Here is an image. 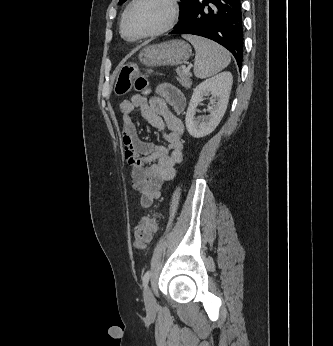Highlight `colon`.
I'll list each match as a JSON object with an SVG mask.
<instances>
[{"label": "colon", "instance_id": "5ec220e1", "mask_svg": "<svg viewBox=\"0 0 333 346\" xmlns=\"http://www.w3.org/2000/svg\"><path fill=\"white\" fill-rule=\"evenodd\" d=\"M138 91L148 93V82L141 75L134 64L124 65L117 78L115 92L123 96L131 91L132 88ZM158 215L153 213L143 217L141 222L134 229L135 245L138 248H144L151 240L153 233L157 230Z\"/></svg>", "mask_w": 333, "mask_h": 346}]
</instances>
